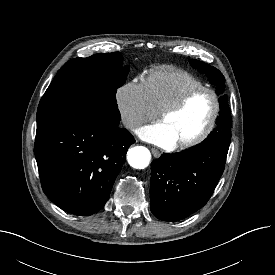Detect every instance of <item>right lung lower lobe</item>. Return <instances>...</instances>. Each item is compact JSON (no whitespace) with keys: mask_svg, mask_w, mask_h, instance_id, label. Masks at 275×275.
<instances>
[{"mask_svg":"<svg viewBox=\"0 0 275 275\" xmlns=\"http://www.w3.org/2000/svg\"><path fill=\"white\" fill-rule=\"evenodd\" d=\"M119 124L80 116L36 133L34 153L42 189L64 211L92 215L107 202L135 140Z\"/></svg>","mask_w":275,"mask_h":275,"instance_id":"1","label":"right lung lower lobe"}]
</instances>
